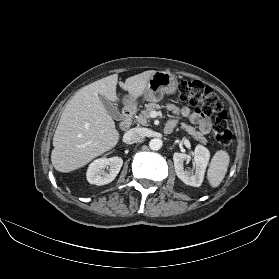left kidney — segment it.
<instances>
[{
  "mask_svg": "<svg viewBox=\"0 0 279 279\" xmlns=\"http://www.w3.org/2000/svg\"><path fill=\"white\" fill-rule=\"evenodd\" d=\"M209 158L208 149L202 145H197L193 153L194 168L188 170L184 167V162L189 161L191 156L184 153H174L173 161L176 175L186 185L199 187L203 182Z\"/></svg>",
  "mask_w": 279,
  "mask_h": 279,
  "instance_id": "1",
  "label": "left kidney"
}]
</instances>
